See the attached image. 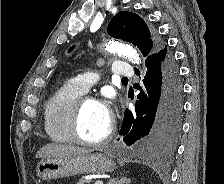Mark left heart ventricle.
Masks as SVG:
<instances>
[{"label":"left heart ventricle","mask_w":224,"mask_h":184,"mask_svg":"<svg viewBox=\"0 0 224 184\" xmlns=\"http://www.w3.org/2000/svg\"><path fill=\"white\" fill-rule=\"evenodd\" d=\"M110 118L101 103L87 102L84 105L80 120L81 136L93 141L103 138L108 132Z\"/></svg>","instance_id":"b2bd125f"}]
</instances>
